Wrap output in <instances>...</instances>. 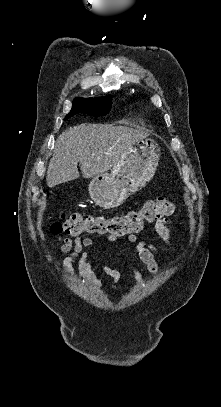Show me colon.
<instances>
[{"label":"colon","instance_id":"1","mask_svg":"<svg viewBox=\"0 0 221 407\" xmlns=\"http://www.w3.org/2000/svg\"><path fill=\"white\" fill-rule=\"evenodd\" d=\"M173 210V198L158 197L144 204L139 211H130L114 217H83L81 214H72L67 219L54 222L50 231L55 235L65 233L72 237L83 233L122 237L140 233L146 223L157 221L171 214Z\"/></svg>","mask_w":221,"mask_h":407}]
</instances>
